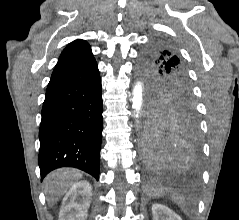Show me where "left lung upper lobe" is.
I'll return each mask as SVG.
<instances>
[{
    "instance_id": "1",
    "label": "left lung upper lobe",
    "mask_w": 239,
    "mask_h": 220,
    "mask_svg": "<svg viewBox=\"0 0 239 220\" xmlns=\"http://www.w3.org/2000/svg\"><path fill=\"white\" fill-rule=\"evenodd\" d=\"M150 80L148 120L158 112H194L186 64L166 40H155L142 56Z\"/></svg>"
}]
</instances>
